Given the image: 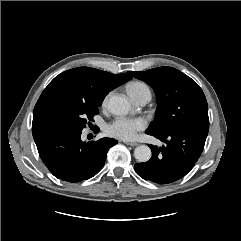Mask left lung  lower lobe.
<instances>
[{"label":"left lung lower lobe","mask_w":241,"mask_h":241,"mask_svg":"<svg viewBox=\"0 0 241 241\" xmlns=\"http://www.w3.org/2000/svg\"><path fill=\"white\" fill-rule=\"evenodd\" d=\"M209 124H194L166 134L146 131L166 143L158 148L150 145L152 157L145 163H136L134 169L143 179L158 184H169L184 177L200 157Z\"/></svg>","instance_id":"0a47b994"}]
</instances>
